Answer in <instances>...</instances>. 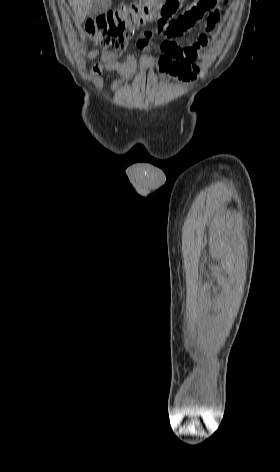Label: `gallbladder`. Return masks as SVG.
Masks as SVG:
<instances>
[{"label":"gallbladder","mask_w":280,"mask_h":472,"mask_svg":"<svg viewBox=\"0 0 280 472\" xmlns=\"http://www.w3.org/2000/svg\"><path fill=\"white\" fill-rule=\"evenodd\" d=\"M111 7V0H93L90 16L96 17L108 11Z\"/></svg>","instance_id":"bac80fb5"}]
</instances>
